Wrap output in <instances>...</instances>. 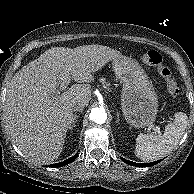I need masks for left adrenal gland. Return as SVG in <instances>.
<instances>
[{
  "mask_svg": "<svg viewBox=\"0 0 194 194\" xmlns=\"http://www.w3.org/2000/svg\"><path fill=\"white\" fill-rule=\"evenodd\" d=\"M116 116H117L116 122L119 123L120 119H119V113L118 112H117Z\"/></svg>",
  "mask_w": 194,
  "mask_h": 194,
  "instance_id": "1",
  "label": "left adrenal gland"
}]
</instances>
